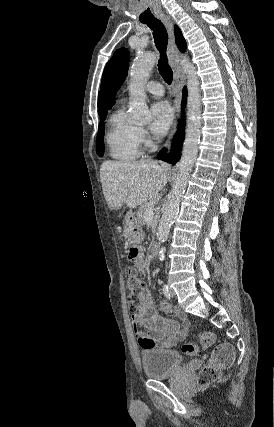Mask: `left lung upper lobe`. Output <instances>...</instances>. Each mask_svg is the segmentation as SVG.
Instances as JSON below:
<instances>
[{
	"label": "left lung upper lobe",
	"mask_w": 274,
	"mask_h": 427,
	"mask_svg": "<svg viewBox=\"0 0 274 427\" xmlns=\"http://www.w3.org/2000/svg\"><path fill=\"white\" fill-rule=\"evenodd\" d=\"M129 57L130 54L126 48L118 49L103 73L101 98L107 109L114 105L113 99L127 76Z\"/></svg>",
	"instance_id": "1"
}]
</instances>
